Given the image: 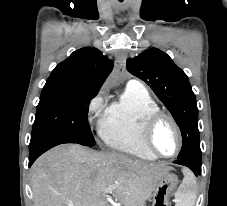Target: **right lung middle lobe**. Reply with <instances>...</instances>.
<instances>
[{
  "instance_id": "1",
  "label": "right lung middle lobe",
  "mask_w": 227,
  "mask_h": 206,
  "mask_svg": "<svg viewBox=\"0 0 227 206\" xmlns=\"http://www.w3.org/2000/svg\"><path fill=\"white\" fill-rule=\"evenodd\" d=\"M95 95L44 87L37 106L30 143L46 136L58 135L74 143L94 146L95 140L86 121V105Z\"/></svg>"
}]
</instances>
